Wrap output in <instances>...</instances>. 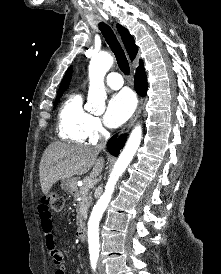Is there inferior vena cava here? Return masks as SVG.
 I'll return each mask as SVG.
<instances>
[{"label":"inferior vena cava","mask_w":221,"mask_h":274,"mask_svg":"<svg viewBox=\"0 0 221 274\" xmlns=\"http://www.w3.org/2000/svg\"><path fill=\"white\" fill-rule=\"evenodd\" d=\"M108 137H109V133L106 132L105 140H103L102 142H100V143L96 146V148L99 149V150L104 149V148H105V145H106V140H107Z\"/></svg>","instance_id":"602c4592"}]
</instances>
